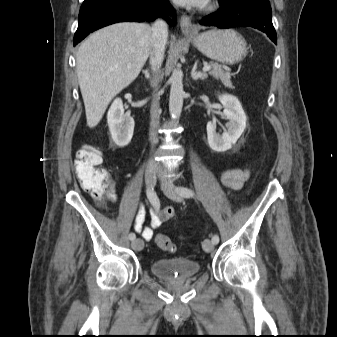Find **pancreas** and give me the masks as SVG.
<instances>
[{
	"label": "pancreas",
	"mask_w": 337,
	"mask_h": 337,
	"mask_svg": "<svg viewBox=\"0 0 337 337\" xmlns=\"http://www.w3.org/2000/svg\"><path fill=\"white\" fill-rule=\"evenodd\" d=\"M210 66L213 68L209 74L215 77L216 79H220L223 85L229 89H233L232 82L230 80L231 75L225 72L222 67L217 63H210Z\"/></svg>",
	"instance_id": "obj_1"
}]
</instances>
